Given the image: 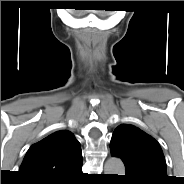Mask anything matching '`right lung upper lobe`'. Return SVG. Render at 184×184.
I'll return each instance as SVG.
<instances>
[{"label":"right lung upper lobe","instance_id":"right-lung-upper-lobe-1","mask_svg":"<svg viewBox=\"0 0 184 184\" xmlns=\"http://www.w3.org/2000/svg\"><path fill=\"white\" fill-rule=\"evenodd\" d=\"M81 164L80 143L71 132L60 130L33 144L19 171L28 181L52 182L64 179Z\"/></svg>","mask_w":184,"mask_h":184}]
</instances>
